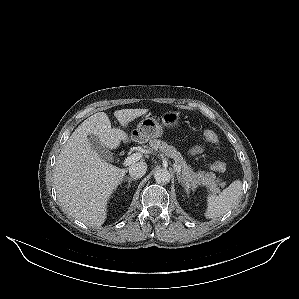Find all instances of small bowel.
Listing matches in <instances>:
<instances>
[{"label": "small bowel", "instance_id": "small-bowel-1", "mask_svg": "<svg viewBox=\"0 0 299 299\" xmlns=\"http://www.w3.org/2000/svg\"><path fill=\"white\" fill-rule=\"evenodd\" d=\"M203 151V147L201 146H195L192 148L191 153L192 154H199Z\"/></svg>", "mask_w": 299, "mask_h": 299}]
</instances>
